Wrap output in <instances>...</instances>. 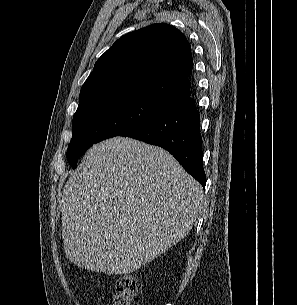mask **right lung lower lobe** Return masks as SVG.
Listing matches in <instances>:
<instances>
[{"label": "right lung lower lobe", "mask_w": 297, "mask_h": 305, "mask_svg": "<svg viewBox=\"0 0 297 305\" xmlns=\"http://www.w3.org/2000/svg\"><path fill=\"white\" fill-rule=\"evenodd\" d=\"M199 126V114L193 98L189 95L120 136L135 138L166 149L205 187L206 175L202 164V137Z\"/></svg>", "instance_id": "98d812e1"}]
</instances>
